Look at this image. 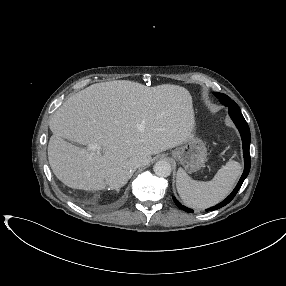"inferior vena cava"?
I'll return each mask as SVG.
<instances>
[{"instance_id": "602c4592", "label": "inferior vena cava", "mask_w": 286, "mask_h": 286, "mask_svg": "<svg viewBox=\"0 0 286 286\" xmlns=\"http://www.w3.org/2000/svg\"><path fill=\"white\" fill-rule=\"evenodd\" d=\"M140 166H141V163L136 161V162H134L132 169L135 170L136 168H138Z\"/></svg>"}]
</instances>
